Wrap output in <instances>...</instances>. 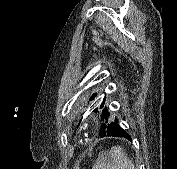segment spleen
Here are the masks:
<instances>
[{"instance_id":"obj_1","label":"spleen","mask_w":177,"mask_h":169,"mask_svg":"<svg viewBox=\"0 0 177 169\" xmlns=\"http://www.w3.org/2000/svg\"><path fill=\"white\" fill-rule=\"evenodd\" d=\"M92 169H135V167L122 147L113 146L109 153L99 155Z\"/></svg>"}]
</instances>
